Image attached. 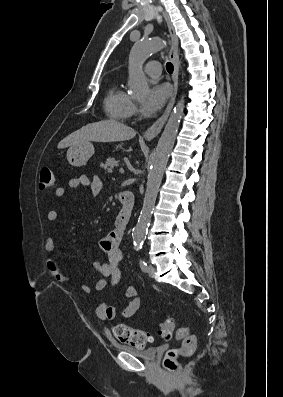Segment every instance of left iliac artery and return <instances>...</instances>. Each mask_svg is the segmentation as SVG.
Returning <instances> with one entry per match:
<instances>
[{"label": "left iliac artery", "instance_id": "left-iliac-artery-1", "mask_svg": "<svg viewBox=\"0 0 283 397\" xmlns=\"http://www.w3.org/2000/svg\"><path fill=\"white\" fill-rule=\"evenodd\" d=\"M139 264H140V268H141V270L143 272H147L148 271L147 263L143 259L140 258Z\"/></svg>", "mask_w": 283, "mask_h": 397}]
</instances>
